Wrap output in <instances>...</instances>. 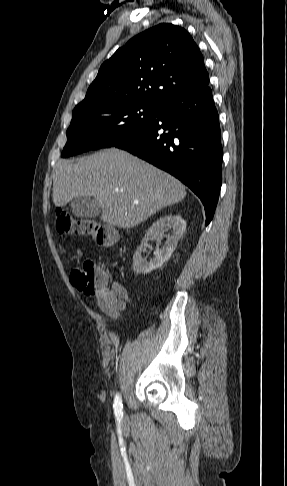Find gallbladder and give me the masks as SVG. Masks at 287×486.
Wrapping results in <instances>:
<instances>
[{
    "instance_id": "gallbladder-1",
    "label": "gallbladder",
    "mask_w": 287,
    "mask_h": 486,
    "mask_svg": "<svg viewBox=\"0 0 287 486\" xmlns=\"http://www.w3.org/2000/svg\"><path fill=\"white\" fill-rule=\"evenodd\" d=\"M70 209L74 216L81 218H94L101 213V207L92 197L74 198L70 203Z\"/></svg>"
}]
</instances>
